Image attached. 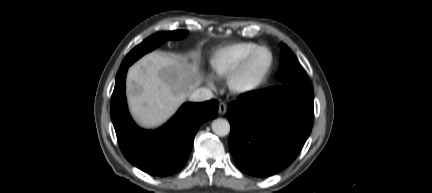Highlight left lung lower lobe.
Masks as SVG:
<instances>
[{
  "mask_svg": "<svg viewBox=\"0 0 432 193\" xmlns=\"http://www.w3.org/2000/svg\"><path fill=\"white\" fill-rule=\"evenodd\" d=\"M227 118L237 166L249 175L270 176L287 167L309 137L314 92L302 85L248 92L230 104Z\"/></svg>",
  "mask_w": 432,
  "mask_h": 193,
  "instance_id": "0a47b994",
  "label": "left lung lower lobe"
}]
</instances>
